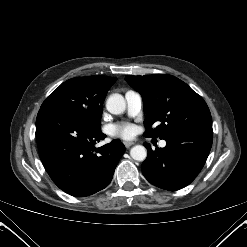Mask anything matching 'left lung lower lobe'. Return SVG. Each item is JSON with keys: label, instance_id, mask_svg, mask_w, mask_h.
<instances>
[{"label": "left lung lower lobe", "instance_id": "left-lung-lower-lobe-1", "mask_svg": "<svg viewBox=\"0 0 247 247\" xmlns=\"http://www.w3.org/2000/svg\"><path fill=\"white\" fill-rule=\"evenodd\" d=\"M166 146L152 150L145 143L148 156L141 168L153 185L174 191L189 185L203 168L209 155L212 126L187 128L164 138Z\"/></svg>", "mask_w": 247, "mask_h": 247}]
</instances>
